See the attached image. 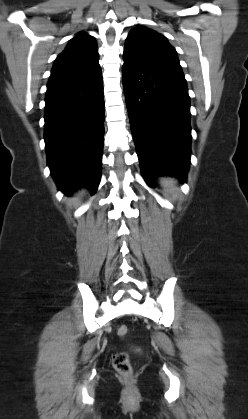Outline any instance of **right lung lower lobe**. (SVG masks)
I'll use <instances>...</instances> for the list:
<instances>
[{"label":"right lung lower lobe","mask_w":248,"mask_h":419,"mask_svg":"<svg viewBox=\"0 0 248 419\" xmlns=\"http://www.w3.org/2000/svg\"><path fill=\"white\" fill-rule=\"evenodd\" d=\"M44 139L51 175L69 194L73 185L95 193L101 179L104 95L99 64L77 75L49 80Z\"/></svg>","instance_id":"98d812e1"}]
</instances>
